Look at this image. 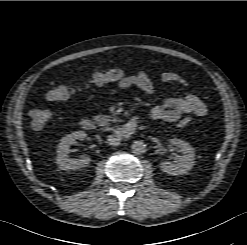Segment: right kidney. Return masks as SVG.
I'll return each instance as SVG.
<instances>
[{
	"label": "right kidney",
	"mask_w": 247,
	"mask_h": 245,
	"mask_svg": "<svg viewBox=\"0 0 247 245\" xmlns=\"http://www.w3.org/2000/svg\"><path fill=\"white\" fill-rule=\"evenodd\" d=\"M86 136L87 134L84 131H78L68 134L60 140L57 147L56 163L61 170H77L86 167L91 162V158L87 155L76 160L71 159L68 155L71 152L70 146L76 140H84Z\"/></svg>",
	"instance_id": "right-kidney-1"
}]
</instances>
